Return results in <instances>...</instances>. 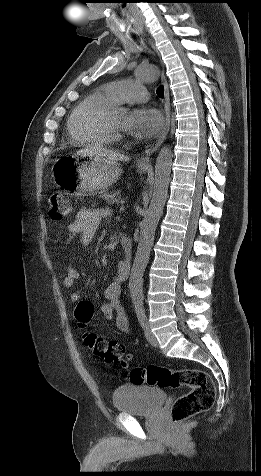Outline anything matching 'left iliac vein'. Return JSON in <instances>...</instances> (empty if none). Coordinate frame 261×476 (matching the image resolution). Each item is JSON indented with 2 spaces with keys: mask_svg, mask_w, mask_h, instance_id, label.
<instances>
[{
  "mask_svg": "<svg viewBox=\"0 0 261 476\" xmlns=\"http://www.w3.org/2000/svg\"><path fill=\"white\" fill-rule=\"evenodd\" d=\"M144 333H145V337H146L147 341L152 346H157L158 345V341L156 339V336L152 333L148 322L146 323V325L144 327Z\"/></svg>",
  "mask_w": 261,
  "mask_h": 476,
  "instance_id": "4c4485c4",
  "label": "left iliac vein"
}]
</instances>
